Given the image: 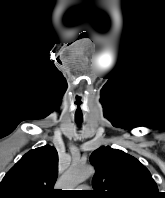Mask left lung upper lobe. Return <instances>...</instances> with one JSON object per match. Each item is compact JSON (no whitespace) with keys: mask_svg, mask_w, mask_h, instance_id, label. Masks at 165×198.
I'll return each mask as SVG.
<instances>
[{"mask_svg":"<svg viewBox=\"0 0 165 198\" xmlns=\"http://www.w3.org/2000/svg\"><path fill=\"white\" fill-rule=\"evenodd\" d=\"M96 173L92 183L98 198H160L151 174L135 157L102 146L90 157Z\"/></svg>","mask_w":165,"mask_h":198,"instance_id":"obj_1","label":"left lung upper lobe"}]
</instances>
